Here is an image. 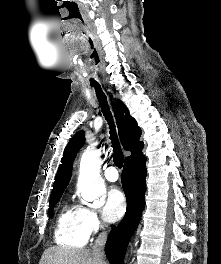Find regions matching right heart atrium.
<instances>
[{
	"instance_id": "d8ad5b80",
	"label": "right heart atrium",
	"mask_w": 221,
	"mask_h": 264,
	"mask_svg": "<svg viewBox=\"0 0 221 264\" xmlns=\"http://www.w3.org/2000/svg\"><path fill=\"white\" fill-rule=\"evenodd\" d=\"M84 221L89 235L99 231L103 227L97 213L92 209L85 208Z\"/></svg>"
}]
</instances>
